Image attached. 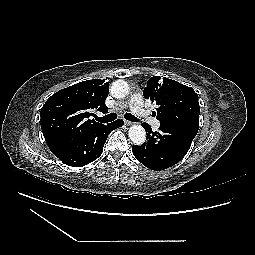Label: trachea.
<instances>
[{
	"mask_svg": "<svg viewBox=\"0 0 255 255\" xmlns=\"http://www.w3.org/2000/svg\"><path fill=\"white\" fill-rule=\"evenodd\" d=\"M117 115L116 113H110L104 117H97L95 116V119L98 121V122H101V123H109V122H112L116 119ZM125 119L126 120H129V121H132V122H138L139 119H137L134 115L130 114V113H126L124 115Z\"/></svg>",
	"mask_w": 255,
	"mask_h": 255,
	"instance_id": "trachea-1",
	"label": "trachea"
}]
</instances>
